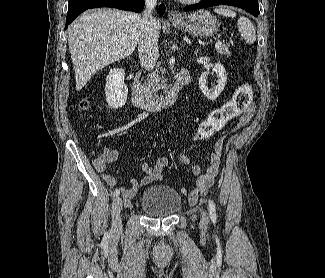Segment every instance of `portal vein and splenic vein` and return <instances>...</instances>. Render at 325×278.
<instances>
[{
    "label": "portal vein and splenic vein",
    "mask_w": 325,
    "mask_h": 278,
    "mask_svg": "<svg viewBox=\"0 0 325 278\" xmlns=\"http://www.w3.org/2000/svg\"><path fill=\"white\" fill-rule=\"evenodd\" d=\"M222 45V42L220 40H218L215 44V48H218Z\"/></svg>",
    "instance_id": "18ae733b"
}]
</instances>
